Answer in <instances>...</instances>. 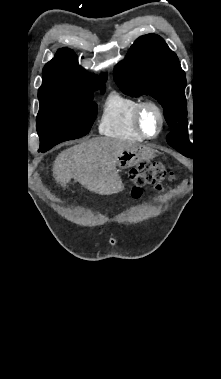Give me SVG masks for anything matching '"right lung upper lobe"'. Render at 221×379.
<instances>
[{
	"mask_svg": "<svg viewBox=\"0 0 221 379\" xmlns=\"http://www.w3.org/2000/svg\"><path fill=\"white\" fill-rule=\"evenodd\" d=\"M107 75H87L78 64L75 53L67 48L59 49L54 59L43 69V83L38 98L50 96H76L88 90L103 87Z\"/></svg>",
	"mask_w": 221,
	"mask_h": 379,
	"instance_id": "obj_1",
	"label": "right lung upper lobe"
}]
</instances>
